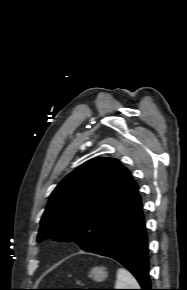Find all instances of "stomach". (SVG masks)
I'll return each mask as SVG.
<instances>
[{
    "label": "stomach",
    "instance_id": "stomach-1",
    "mask_svg": "<svg viewBox=\"0 0 187 290\" xmlns=\"http://www.w3.org/2000/svg\"><path fill=\"white\" fill-rule=\"evenodd\" d=\"M108 276L105 267H93L89 273V277L97 282L104 281Z\"/></svg>",
    "mask_w": 187,
    "mask_h": 290
}]
</instances>
